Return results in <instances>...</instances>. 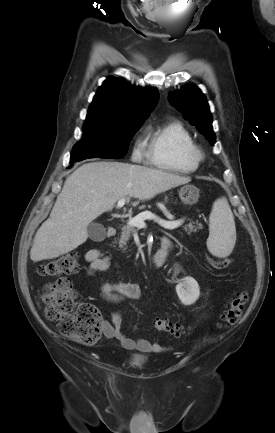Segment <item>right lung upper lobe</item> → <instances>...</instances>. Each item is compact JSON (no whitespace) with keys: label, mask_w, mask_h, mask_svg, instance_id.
<instances>
[{"label":"right lung upper lobe","mask_w":275,"mask_h":433,"mask_svg":"<svg viewBox=\"0 0 275 433\" xmlns=\"http://www.w3.org/2000/svg\"><path fill=\"white\" fill-rule=\"evenodd\" d=\"M156 88H137L115 77L107 78L89 107L85 122L122 124L144 122L158 100Z\"/></svg>","instance_id":"cb5924a9"}]
</instances>
